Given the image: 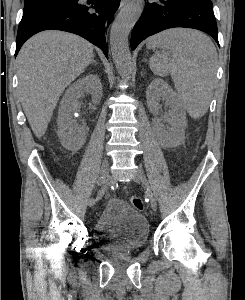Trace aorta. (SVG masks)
Masks as SVG:
<instances>
[{
	"label": "aorta",
	"mask_w": 245,
	"mask_h": 300,
	"mask_svg": "<svg viewBox=\"0 0 245 300\" xmlns=\"http://www.w3.org/2000/svg\"><path fill=\"white\" fill-rule=\"evenodd\" d=\"M144 0H132L116 17L110 32V47L117 71L123 78L131 73L128 37L143 11Z\"/></svg>",
	"instance_id": "obj_1"
}]
</instances>
